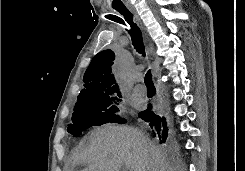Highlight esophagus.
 Returning a JSON list of instances; mask_svg holds the SVG:
<instances>
[{"label": "esophagus", "instance_id": "obj_1", "mask_svg": "<svg viewBox=\"0 0 245 171\" xmlns=\"http://www.w3.org/2000/svg\"><path fill=\"white\" fill-rule=\"evenodd\" d=\"M127 6H128V8L132 11V13L134 14V17H135L136 21H137L138 23H140L141 28H143V26H142V24H141V21H140V18H139L138 15L136 14L135 9L133 8V6H132L131 4H127Z\"/></svg>", "mask_w": 245, "mask_h": 171}]
</instances>
